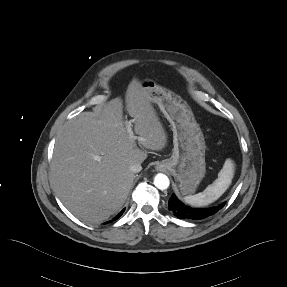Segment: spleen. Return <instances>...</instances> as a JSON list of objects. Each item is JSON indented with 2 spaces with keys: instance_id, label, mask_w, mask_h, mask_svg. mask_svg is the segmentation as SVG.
Returning <instances> with one entry per match:
<instances>
[{
  "instance_id": "obj_1",
  "label": "spleen",
  "mask_w": 287,
  "mask_h": 287,
  "mask_svg": "<svg viewBox=\"0 0 287 287\" xmlns=\"http://www.w3.org/2000/svg\"><path fill=\"white\" fill-rule=\"evenodd\" d=\"M234 168V162L231 159H226L223 168L218 173V178L203 192L184 197V201L195 207L213 203L229 188L234 176Z\"/></svg>"
}]
</instances>
